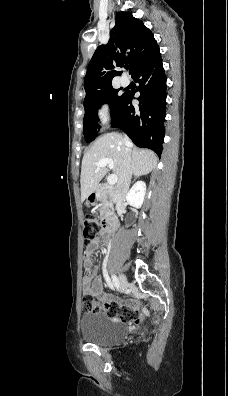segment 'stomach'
<instances>
[{
    "label": "stomach",
    "instance_id": "stomach-1",
    "mask_svg": "<svg viewBox=\"0 0 228 396\" xmlns=\"http://www.w3.org/2000/svg\"><path fill=\"white\" fill-rule=\"evenodd\" d=\"M97 200V194L96 193H92L90 194L87 199H86V205L90 206L93 205L94 202Z\"/></svg>",
    "mask_w": 228,
    "mask_h": 396
}]
</instances>
